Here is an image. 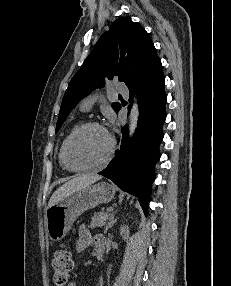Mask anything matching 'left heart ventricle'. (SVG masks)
<instances>
[{"mask_svg": "<svg viewBox=\"0 0 231 286\" xmlns=\"http://www.w3.org/2000/svg\"><path fill=\"white\" fill-rule=\"evenodd\" d=\"M110 147L108 135L98 128H87L70 143L68 158L73 166L81 167L100 161Z\"/></svg>", "mask_w": 231, "mask_h": 286, "instance_id": "obj_1", "label": "left heart ventricle"}]
</instances>
